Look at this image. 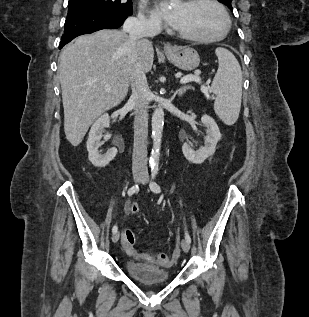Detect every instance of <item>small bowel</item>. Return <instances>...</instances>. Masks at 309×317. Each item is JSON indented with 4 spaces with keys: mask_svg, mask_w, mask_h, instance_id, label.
<instances>
[{
    "mask_svg": "<svg viewBox=\"0 0 309 317\" xmlns=\"http://www.w3.org/2000/svg\"><path fill=\"white\" fill-rule=\"evenodd\" d=\"M126 208H127V210H128L129 212H131V206H130L129 204H127ZM126 250H127V252H128L130 255H135V254H136V251H135V249H134L133 247H126Z\"/></svg>",
    "mask_w": 309,
    "mask_h": 317,
    "instance_id": "small-bowel-1",
    "label": "small bowel"
}]
</instances>
